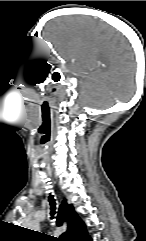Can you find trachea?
<instances>
[{
    "label": "trachea",
    "mask_w": 146,
    "mask_h": 241,
    "mask_svg": "<svg viewBox=\"0 0 146 241\" xmlns=\"http://www.w3.org/2000/svg\"><path fill=\"white\" fill-rule=\"evenodd\" d=\"M49 202H50V206H51V219H53L54 218V215H55V213H56V203H55V199H54V196L53 195H51L50 194V196H49ZM54 241H61L60 239H58V238H54L53 239Z\"/></svg>",
    "instance_id": "obj_1"
}]
</instances>
